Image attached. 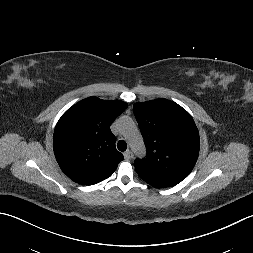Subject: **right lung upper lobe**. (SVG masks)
<instances>
[{"mask_svg":"<svg viewBox=\"0 0 253 253\" xmlns=\"http://www.w3.org/2000/svg\"><path fill=\"white\" fill-rule=\"evenodd\" d=\"M127 106L120 100L89 97L62 115L55 127L53 149L71 180L94 185L113 174L123 155L116 150L110 125Z\"/></svg>","mask_w":253,"mask_h":253,"instance_id":"right-lung-upper-lobe-1","label":"right lung upper lobe"}]
</instances>
